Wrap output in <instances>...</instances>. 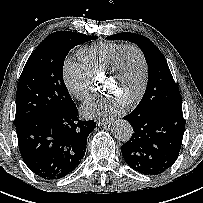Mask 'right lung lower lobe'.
<instances>
[{
	"instance_id": "1",
	"label": "right lung lower lobe",
	"mask_w": 203,
	"mask_h": 203,
	"mask_svg": "<svg viewBox=\"0 0 203 203\" xmlns=\"http://www.w3.org/2000/svg\"><path fill=\"white\" fill-rule=\"evenodd\" d=\"M95 127L93 120H79L75 104L18 125L16 132L23 161L41 178L60 179L80 164L87 136Z\"/></svg>"
}]
</instances>
